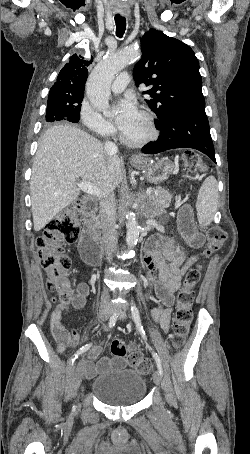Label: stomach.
Listing matches in <instances>:
<instances>
[{
	"mask_svg": "<svg viewBox=\"0 0 250 454\" xmlns=\"http://www.w3.org/2000/svg\"><path fill=\"white\" fill-rule=\"evenodd\" d=\"M130 163L133 167L145 173L147 179L154 183L163 181L170 174H173L177 171L176 165L168 158H162L157 161H153L149 157L140 155L131 159Z\"/></svg>",
	"mask_w": 250,
	"mask_h": 454,
	"instance_id": "0dacf381",
	"label": "stomach"
}]
</instances>
